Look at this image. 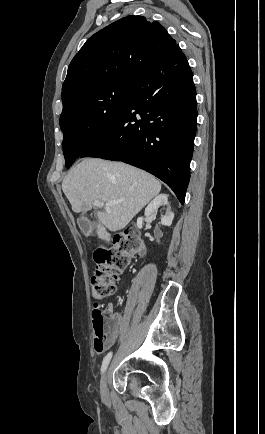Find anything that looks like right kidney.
<instances>
[{
  "label": "right kidney",
  "mask_w": 265,
  "mask_h": 434,
  "mask_svg": "<svg viewBox=\"0 0 265 434\" xmlns=\"http://www.w3.org/2000/svg\"><path fill=\"white\" fill-rule=\"evenodd\" d=\"M160 206H166L165 216H162L161 224H163V226H171L174 214L171 212L168 196L167 194H159V196H156V198H154V200L148 204L147 208H145V218H138L137 226L140 228V230L143 228L144 220H154V218H156V212Z\"/></svg>",
  "instance_id": "right-kidney-1"
}]
</instances>
